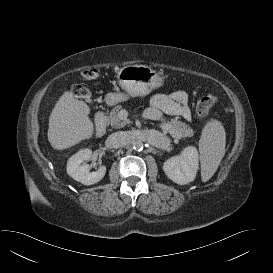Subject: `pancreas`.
I'll return each mask as SVG.
<instances>
[{"label":"pancreas","mask_w":273,"mask_h":273,"mask_svg":"<svg viewBox=\"0 0 273 273\" xmlns=\"http://www.w3.org/2000/svg\"><path fill=\"white\" fill-rule=\"evenodd\" d=\"M121 110L122 106L118 105L112 109L108 116V122L115 129L122 128L131 123L129 119L120 117L119 113ZM159 127L164 133L169 132L176 139L193 136V129L185 123L177 121L176 119L164 121L159 124Z\"/></svg>","instance_id":"cf45deb5"}]
</instances>
